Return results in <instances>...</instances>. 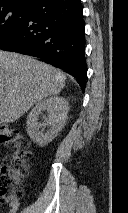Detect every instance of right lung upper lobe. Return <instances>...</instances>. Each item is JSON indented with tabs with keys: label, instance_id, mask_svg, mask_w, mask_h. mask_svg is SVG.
<instances>
[{
	"label": "right lung upper lobe",
	"instance_id": "right-lung-upper-lobe-1",
	"mask_svg": "<svg viewBox=\"0 0 128 213\" xmlns=\"http://www.w3.org/2000/svg\"><path fill=\"white\" fill-rule=\"evenodd\" d=\"M39 0H0V6L4 5H21L32 7Z\"/></svg>",
	"mask_w": 128,
	"mask_h": 213
}]
</instances>
